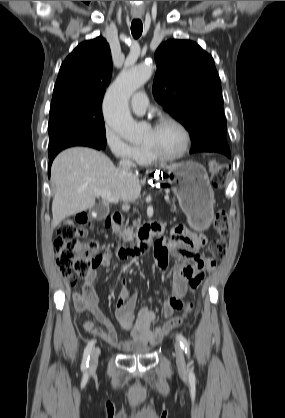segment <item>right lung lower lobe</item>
I'll return each instance as SVG.
<instances>
[{"instance_id":"right-lung-lower-lobe-1","label":"right lung lower lobe","mask_w":285,"mask_h":418,"mask_svg":"<svg viewBox=\"0 0 285 418\" xmlns=\"http://www.w3.org/2000/svg\"><path fill=\"white\" fill-rule=\"evenodd\" d=\"M71 146H87V147H92V148H95V149H98V150H103V149H104V148H102L100 145L95 144V143H90V142L78 143V144H74V145H71ZM71 146H69V147H71ZM58 153H59V152H58ZM58 153H57V154H58ZM57 154H55V155H53V156L49 157V159H50V161H49V165H48L49 176H50V168H51L52 161H53V159L55 158V156H56Z\"/></svg>"}]
</instances>
